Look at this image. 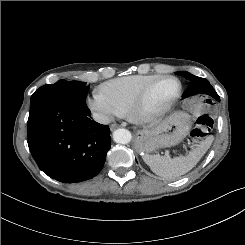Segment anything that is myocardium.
I'll return each mask as SVG.
<instances>
[{
    "label": "myocardium",
    "mask_w": 245,
    "mask_h": 245,
    "mask_svg": "<svg viewBox=\"0 0 245 245\" xmlns=\"http://www.w3.org/2000/svg\"><path fill=\"white\" fill-rule=\"evenodd\" d=\"M166 80H174L178 84V89L174 96L163 106L151 109L148 106L149 98L152 92L164 81ZM182 92V83L181 81L171 75L161 76L160 78L156 79L155 81L148 84L137 96V98L132 103L128 115L131 120L136 123H148L152 122L163 115H165L170 109L174 106L177 102L178 98L180 97Z\"/></svg>",
    "instance_id": "myocardium-1"
}]
</instances>
